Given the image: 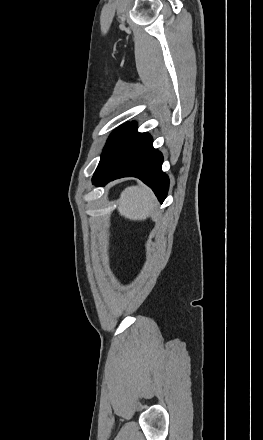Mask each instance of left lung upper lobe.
Listing matches in <instances>:
<instances>
[{"label": "left lung upper lobe", "mask_w": 263, "mask_h": 440, "mask_svg": "<svg viewBox=\"0 0 263 440\" xmlns=\"http://www.w3.org/2000/svg\"><path fill=\"white\" fill-rule=\"evenodd\" d=\"M128 125L129 123H126L112 132L109 139L107 140L106 146L103 150L100 162L95 172L102 170L105 167V165L108 163L111 155L113 154L116 146L118 145Z\"/></svg>", "instance_id": "5c2ea615"}]
</instances>
